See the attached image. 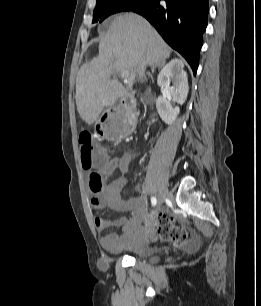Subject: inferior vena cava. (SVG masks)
<instances>
[{"label": "inferior vena cava", "mask_w": 261, "mask_h": 306, "mask_svg": "<svg viewBox=\"0 0 261 306\" xmlns=\"http://www.w3.org/2000/svg\"><path fill=\"white\" fill-rule=\"evenodd\" d=\"M145 67H146V65H145L144 63L140 66V72H141V73L144 72Z\"/></svg>", "instance_id": "1"}]
</instances>
